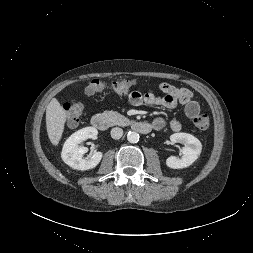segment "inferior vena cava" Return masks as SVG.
<instances>
[{
    "instance_id": "obj_1",
    "label": "inferior vena cava",
    "mask_w": 253,
    "mask_h": 253,
    "mask_svg": "<svg viewBox=\"0 0 253 253\" xmlns=\"http://www.w3.org/2000/svg\"><path fill=\"white\" fill-rule=\"evenodd\" d=\"M123 135V130L119 127L112 128L111 137L113 139H120Z\"/></svg>"
}]
</instances>
